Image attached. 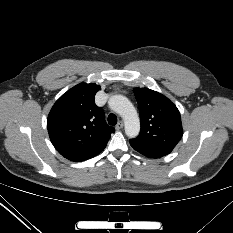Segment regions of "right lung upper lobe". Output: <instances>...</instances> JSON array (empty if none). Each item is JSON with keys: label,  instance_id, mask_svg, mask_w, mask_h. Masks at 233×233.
<instances>
[{"label": "right lung upper lobe", "instance_id": "1", "mask_svg": "<svg viewBox=\"0 0 233 233\" xmlns=\"http://www.w3.org/2000/svg\"><path fill=\"white\" fill-rule=\"evenodd\" d=\"M100 86L80 83L64 93L52 107L47 128L56 150L71 161L90 159L107 145L114 128L94 97Z\"/></svg>", "mask_w": 233, "mask_h": 233}]
</instances>
